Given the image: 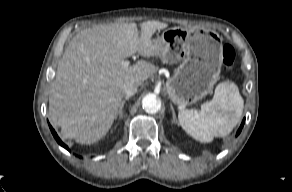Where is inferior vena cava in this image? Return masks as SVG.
Returning a JSON list of instances; mask_svg holds the SVG:
<instances>
[{"label":"inferior vena cava","mask_w":292,"mask_h":192,"mask_svg":"<svg viewBox=\"0 0 292 192\" xmlns=\"http://www.w3.org/2000/svg\"><path fill=\"white\" fill-rule=\"evenodd\" d=\"M138 87L133 83H126L123 86L126 98L133 96L137 92Z\"/></svg>","instance_id":"1"}]
</instances>
